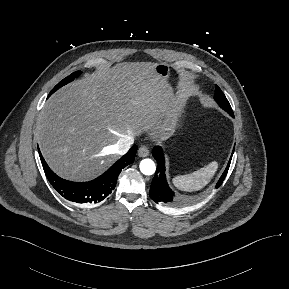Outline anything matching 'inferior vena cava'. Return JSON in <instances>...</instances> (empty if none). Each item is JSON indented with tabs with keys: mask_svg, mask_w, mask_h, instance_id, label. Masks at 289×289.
I'll list each match as a JSON object with an SVG mask.
<instances>
[{
	"mask_svg": "<svg viewBox=\"0 0 289 289\" xmlns=\"http://www.w3.org/2000/svg\"><path fill=\"white\" fill-rule=\"evenodd\" d=\"M134 143V138L130 134H126L122 136L118 142L114 145L116 153L122 155L125 154L129 148L132 146Z\"/></svg>",
	"mask_w": 289,
	"mask_h": 289,
	"instance_id": "1",
	"label": "inferior vena cava"
}]
</instances>
